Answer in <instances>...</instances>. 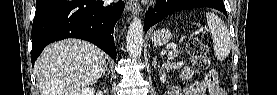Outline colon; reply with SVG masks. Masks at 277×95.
<instances>
[{"instance_id": "colon-1", "label": "colon", "mask_w": 277, "mask_h": 95, "mask_svg": "<svg viewBox=\"0 0 277 95\" xmlns=\"http://www.w3.org/2000/svg\"><path fill=\"white\" fill-rule=\"evenodd\" d=\"M187 50L191 57L194 69L199 73H206L207 81L210 83L213 82L215 80V72L207 70L209 65L207 46L200 39L191 38L188 41Z\"/></svg>"}]
</instances>
